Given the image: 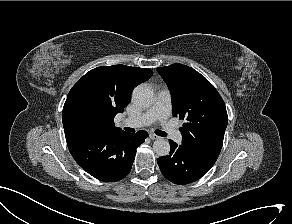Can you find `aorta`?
<instances>
[{"instance_id":"obj_1","label":"aorta","mask_w":292,"mask_h":224,"mask_svg":"<svg viewBox=\"0 0 292 224\" xmlns=\"http://www.w3.org/2000/svg\"><path fill=\"white\" fill-rule=\"evenodd\" d=\"M133 102L143 108L150 107L154 102V93L146 85H138L132 92ZM153 150L158 156H166L170 152V144L167 140L160 138L154 141Z\"/></svg>"}]
</instances>
